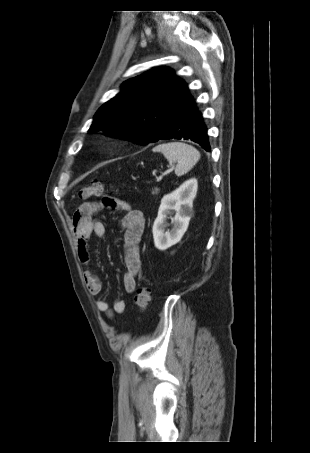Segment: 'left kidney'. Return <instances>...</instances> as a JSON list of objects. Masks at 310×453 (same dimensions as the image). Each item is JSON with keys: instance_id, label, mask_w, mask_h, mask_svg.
<instances>
[{"instance_id": "left-kidney-1", "label": "left kidney", "mask_w": 310, "mask_h": 453, "mask_svg": "<svg viewBox=\"0 0 310 453\" xmlns=\"http://www.w3.org/2000/svg\"><path fill=\"white\" fill-rule=\"evenodd\" d=\"M197 188V180L191 178L162 198L152 230L154 244L158 250L164 251L175 245L187 231L193 215V200L196 197ZM174 213V217H170L173 227L170 231H165L169 225L166 221L168 215Z\"/></svg>"}]
</instances>
